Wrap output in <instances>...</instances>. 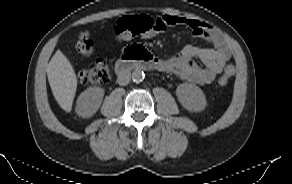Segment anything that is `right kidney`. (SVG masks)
Returning a JSON list of instances; mask_svg holds the SVG:
<instances>
[{"instance_id": "1", "label": "right kidney", "mask_w": 292, "mask_h": 184, "mask_svg": "<svg viewBox=\"0 0 292 184\" xmlns=\"http://www.w3.org/2000/svg\"><path fill=\"white\" fill-rule=\"evenodd\" d=\"M104 96V89L90 87L83 91L77 99L76 112L81 117H91L100 108Z\"/></svg>"}]
</instances>
